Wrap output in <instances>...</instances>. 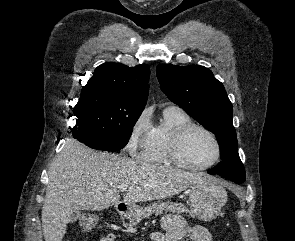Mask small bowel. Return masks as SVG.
Returning <instances> with one entry per match:
<instances>
[{
	"label": "small bowel",
	"instance_id": "obj_1",
	"mask_svg": "<svg viewBox=\"0 0 295 241\" xmlns=\"http://www.w3.org/2000/svg\"><path fill=\"white\" fill-rule=\"evenodd\" d=\"M162 225L166 230V234H153L152 238L155 241H182L185 238L190 241H211V236L206 228L191 226L176 214H166L163 216ZM100 241H116V236L110 233Z\"/></svg>",
	"mask_w": 295,
	"mask_h": 241
}]
</instances>
